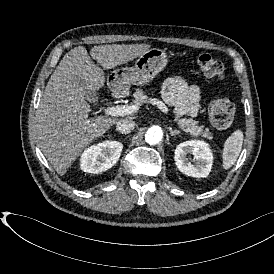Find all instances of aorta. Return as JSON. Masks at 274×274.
I'll return each instance as SVG.
<instances>
[{
    "instance_id": "aorta-1",
    "label": "aorta",
    "mask_w": 274,
    "mask_h": 274,
    "mask_svg": "<svg viewBox=\"0 0 274 274\" xmlns=\"http://www.w3.org/2000/svg\"><path fill=\"white\" fill-rule=\"evenodd\" d=\"M162 136L163 132L161 127L152 126L147 130L145 134V141L150 145H155L161 141Z\"/></svg>"
}]
</instances>
